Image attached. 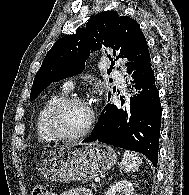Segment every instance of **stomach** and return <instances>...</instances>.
Wrapping results in <instances>:
<instances>
[{
  "mask_svg": "<svg viewBox=\"0 0 189 195\" xmlns=\"http://www.w3.org/2000/svg\"><path fill=\"white\" fill-rule=\"evenodd\" d=\"M116 161V152L108 145H71L48 151L40 161L39 171L55 182L87 181L110 169Z\"/></svg>",
  "mask_w": 189,
  "mask_h": 195,
  "instance_id": "obj_1",
  "label": "stomach"
}]
</instances>
